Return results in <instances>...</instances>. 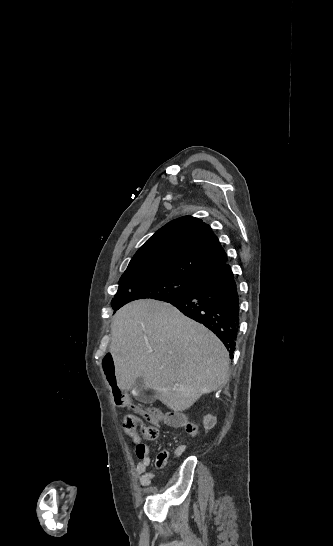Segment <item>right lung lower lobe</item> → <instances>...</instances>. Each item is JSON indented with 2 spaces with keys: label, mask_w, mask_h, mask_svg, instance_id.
<instances>
[{
  "label": "right lung lower lobe",
  "mask_w": 333,
  "mask_h": 546,
  "mask_svg": "<svg viewBox=\"0 0 333 546\" xmlns=\"http://www.w3.org/2000/svg\"><path fill=\"white\" fill-rule=\"evenodd\" d=\"M202 323L224 343L233 358L239 331V293L229 264L203 276L190 291L163 300Z\"/></svg>",
  "instance_id": "right-lung-lower-lobe-1"
}]
</instances>
